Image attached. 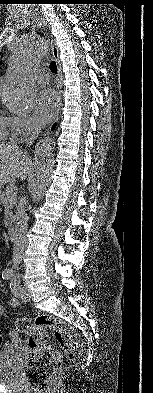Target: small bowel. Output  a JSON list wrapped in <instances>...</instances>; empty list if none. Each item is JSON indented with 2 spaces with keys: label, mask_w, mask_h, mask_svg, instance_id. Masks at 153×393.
I'll return each instance as SVG.
<instances>
[{
  "label": "small bowel",
  "mask_w": 153,
  "mask_h": 393,
  "mask_svg": "<svg viewBox=\"0 0 153 393\" xmlns=\"http://www.w3.org/2000/svg\"><path fill=\"white\" fill-rule=\"evenodd\" d=\"M19 303H20V301H19V299L18 298H16V297H11L10 299H9V305L11 306V307H18L19 306ZM6 313V309H5V307L4 306H2V305H0V316H2V315H4Z\"/></svg>",
  "instance_id": "c3829d8e"
}]
</instances>
